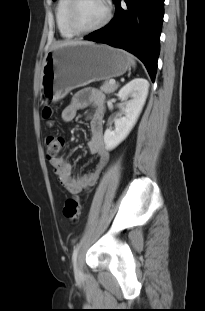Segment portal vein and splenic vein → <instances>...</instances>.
<instances>
[{
  "mask_svg": "<svg viewBox=\"0 0 205 311\" xmlns=\"http://www.w3.org/2000/svg\"><path fill=\"white\" fill-rule=\"evenodd\" d=\"M110 83H111V84H115L116 82H115L114 79H111V80H110Z\"/></svg>",
  "mask_w": 205,
  "mask_h": 311,
  "instance_id": "1",
  "label": "portal vein and splenic vein"
}]
</instances>
